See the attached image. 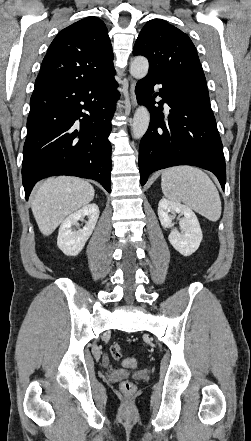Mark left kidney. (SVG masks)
I'll list each match as a JSON object with an SVG mask.
<instances>
[{
	"label": "left kidney",
	"instance_id": "1",
	"mask_svg": "<svg viewBox=\"0 0 251 441\" xmlns=\"http://www.w3.org/2000/svg\"><path fill=\"white\" fill-rule=\"evenodd\" d=\"M176 213L184 216L179 221L181 233L172 228ZM158 216L164 228H171L168 240L180 254L190 256L199 248L202 231L195 213L188 206L163 198L158 204Z\"/></svg>",
	"mask_w": 251,
	"mask_h": 441
}]
</instances>
